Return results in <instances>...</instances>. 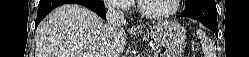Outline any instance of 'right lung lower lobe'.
Instances as JSON below:
<instances>
[{"label": "right lung lower lobe", "instance_id": "98d812e1", "mask_svg": "<svg viewBox=\"0 0 249 57\" xmlns=\"http://www.w3.org/2000/svg\"><path fill=\"white\" fill-rule=\"evenodd\" d=\"M65 3H75L83 5L98 15H100L103 19H106L105 13V6L101 2V0H40L38 5V12H37V19L35 22V27L41 22L45 16L50 13L53 9L57 6L65 4Z\"/></svg>", "mask_w": 249, "mask_h": 57}]
</instances>
